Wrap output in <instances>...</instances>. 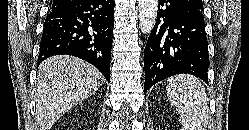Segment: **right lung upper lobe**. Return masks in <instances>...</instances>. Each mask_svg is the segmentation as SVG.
Here are the masks:
<instances>
[{
	"label": "right lung upper lobe",
	"mask_w": 249,
	"mask_h": 130,
	"mask_svg": "<svg viewBox=\"0 0 249 130\" xmlns=\"http://www.w3.org/2000/svg\"><path fill=\"white\" fill-rule=\"evenodd\" d=\"M73 0H53L51 11L59 10L66 5L70 4Z\"/></svg>",
	"instance_id": "obj_1"
}]
</instances>
